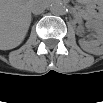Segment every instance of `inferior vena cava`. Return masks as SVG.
Wrapping results in <instances>:
<instances>
[{"label": "inferior vena cava", "instance_id": "obj_1", "mask_svg": "<svg viewBox=\"0 0 103 103\" xmlns=\"http://www.w3.org/2000/svg\"><path fill=\"white\" fill-rule=\"evenodd\" d=\"M46 3L41 0H36L32 3L31 5V11L34 15L41 14L45 11L46 9Z\"/></svg>", "mask_w": 103, "mask_h": 103}]
</instances>
